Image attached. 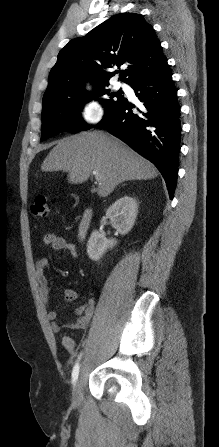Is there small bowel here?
I'll return each instance as SVG.
<instances>
[{
    "mask_svg": "<svg viewBox=\"0 0 219 447\" xmlns=\"http://www.w3.org/2000/svg\"><path fill=\"white\" fill-rule=\"evenodd\" d=\"M42 242L46 246H50L52 249L57 251L68 252L73 259L78 258L77 246L74 242L68 241L62 236H58L52 233L43 235ZM49 267V261L47 258H40L36 262V277L39 283L40 294L43 301L48 303L50 299V286L48 279L45 275V270ZM79 297V293L73 289H65L63 292V299L66 303H72ZM95 311V301L92 297H87L85 302L74 310V315L76 320L62 324L57 321V312L55 310H49L47 312V319L51 323V329L53 332L58 333L63 328H68L71 330H85L90 325L92 317ZM62 345L66 350L74 354L76 351V346L74 341L69 336L62 337Z\"/></svg>",
    "mask_w": 219,
    "mask_h": 447,
    "instance_id": "c3829d8e",
    "label": "small bowel"
}]
</instances>
